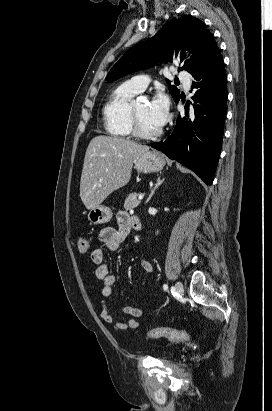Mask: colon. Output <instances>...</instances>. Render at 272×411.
Instances as JSON below:
<instances>
[{"label": "colon", "mask_w": 272, "mask_h": 411, "mask_svg": "<svg viewBox=\"0 0 272 411\" xmlns=\"http://www.w3.org/2000/svg\"><path fill=\"white\" fill-rule=\"evenodd\" d=\"M90 247L87 238H80L78 248L81 252H87ZM147 335L150 338H165L175 342H187L192 339V335L183 330L172 329L168 327H156L148 330Z\"/></svg>", "instance_id": "obj_1"}]
</instances>
